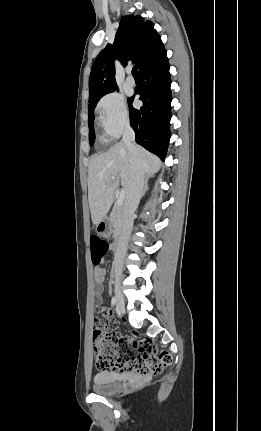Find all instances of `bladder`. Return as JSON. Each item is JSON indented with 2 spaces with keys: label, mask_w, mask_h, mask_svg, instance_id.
Masks as SVG:
<instances>
[{
  "label": "bladder",
  "mask_w": 261,
  "mask_h": 431,
  "mask_svg": "<svg viewBox=\"0 0 261 431\" xmlns=\"http://www.w3.org/2000/svg\"><path fill=\"white\" fill-rule=\"evenodd\" d=\"M124 376L110 372L102 371L97 373L93 378L92 389L97 394L109 395L121 390Z\"/></svg>",
  "instance_id": "1"
}]
</instances>
